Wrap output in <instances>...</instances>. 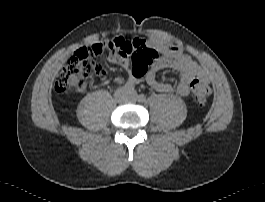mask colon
<instances>
[{"instance_id":"obj_1","label":"colon","mask_w":265,"mask_h":202,"mask_svg":"<svg viewBox=\"0 0 265 202\" xmlns=\"http://www.w3.org/2000/svg\"><path fill=\"white\" fill-rule=\"evenodd\" d=\"M116 52L130 58L132 76L140 80L149 64L158 57L159 51L152 47L118 38L108 43H96L69 58L59 71L54 87L57 92L83 91L94 74H101L95 58L103 53ZM192 97L196 104L205 105L211 96V86L201 80L191 83Z\"/></svg>"}]
</instances>
